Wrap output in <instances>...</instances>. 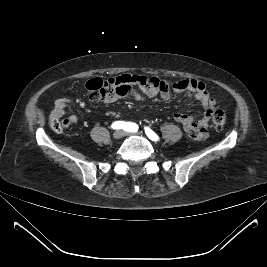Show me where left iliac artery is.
I'll use <instances>...</instances> for the list:
<instances>
[{
    "instance_id": "left-iliac-artery-1",
    "label": "left iliac artery",
    "mask_w": 267,
    "mask_h": 267,
    "mask_svg": "<svg viewBox=\"0 0 267 267\" xmlns=\"http://www.w3.org/2000/svg\"><path fill=\"white\" fill-rule=\"evenodd\" d=\"M145 133L146 135L153 141H157L159 137L156 135L155 132H153L150 128L145 127Z\"/></svg>"
}]
</instances>
